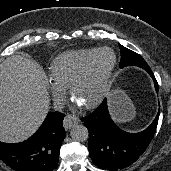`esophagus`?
<instances>
[{
	"mask_svg": "<svg viewBox=\"0 0 171 171\" xmlns=\"http://www.w3.org/2000/svg\"><path fill=\"white\" fill-rule=\"evenodd\" d=\"M80 119L74 115L67 114L63 121V127L68 130L72 128L74 125L78 124Z\"/></svg>",
	"mask_w": 171,
	"mask_h": 171,
	"instance_id": "esophagus-1",
	"label": "esophagus"
}]
</instances>
